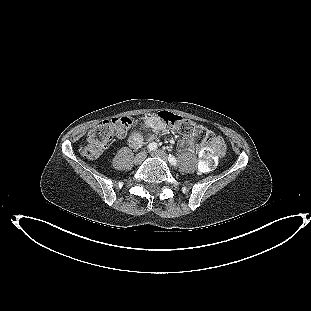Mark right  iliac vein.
<instances>
[{
    "label": "right iliac vein",
    "instance_id": "obj_1",
    "mask_svg": "<svg viewBox=\"0 0 311 311\" xmlns=\"http://www.w3.org/2000/svg\"><path fill=\"white\" fill-rule=\"evenodd\" d=\"M146 157V152L142 151L140 153H138L135 158H134V163L136 164H140L141 162H143V160Z\"/></svg>",
    "mask_w": 311,
    "mask_h": 311
}]
</instances>
